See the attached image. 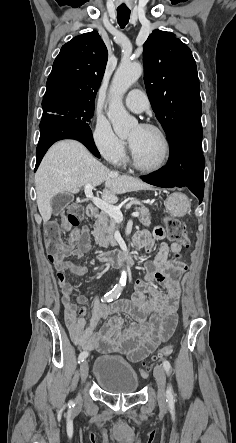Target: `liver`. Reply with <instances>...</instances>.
Segmentation results:
<instances>
[{"label":"liver","instance_id":"6515ba94","mask_svg":"<svg viewBox=\"0 0 236 443\" xmlns=\"http://www.w3.org/2000/svg\"><path fill=\"white\" fill-rule=\"evenodd\" d=\"M103 182L102 199L108 204L116 203L119 194L151 189L137 178L110 171L78 141L54 144L35 174L37 205L43 221L51 218V200L58 193L76 194L87 184L98 186Z\"/></svg>","mask_w":236,"mask_h":443}]
</instances>
